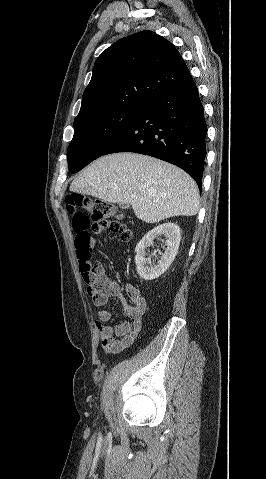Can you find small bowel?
I'll return each instance as SVG.
<instances>
[{
    "instance_id": "small-bowel-1",
    "label": "small bowel",
    "mask_w": 266,
    "mask_h": 479,
    "mask_svg": "<svg viewBox=\"0 0 266 479\" xmlns=\"http://www.w3.org/2000/svg\"><path fill=\"white\" fill-rule=\"evenodd\" d=\"M94 243L93 241L91 242ZM94 283L97 289L93 304L98 310L96 327L100 334L102 348L108 353H118L129 347L141 331L142 319L147 310L145 298L138 288L132 284L126 287L127 294L133 304H129L122 295L120 285L111 279L105 272L101 263L94 268ZM116 298L127 320L119 325H109L111 313L102 309L109 298Z\"/></svg>"
}]
</instances>
